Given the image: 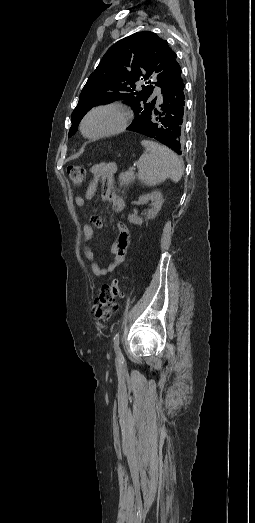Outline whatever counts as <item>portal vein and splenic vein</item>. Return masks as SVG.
Returning <instances> with one entry per match:
<instances>
[{"instance_id":"1","label":"portal vein and splenic vein","mask_w":255,"mask_h":523,"mask_svg":"<svg viewBox=\"0 0 255 523\" xmlns=\"http://www.w3.org/2000/svg\"><path fill=\"white\" fill-rule=\"evenodd\" d=\"M134 170H135V168L129 167V168L127 169V172H128L129 174H132V173L134 172Z\"/></svg>"}]
</instances>
